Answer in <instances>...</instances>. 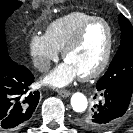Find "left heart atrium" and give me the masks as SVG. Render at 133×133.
<instances>
[{
    "label": "left heart atrium",
    "mask_w": 133,
    "mask_h": 133,
    "mask_svg": "<svg viewBox=\"0 0 133 133\" xmlns=\"http://www.w3.org/2000/svg\"><path fill=\"white\" fill-rule=\"evenodd\" d=\"M74 68L66 61L52 70L44 79L43 83L51 87H63L77 77Z\"/></svg>",
    "instance_id": "obj_1"
}]
</instances>
